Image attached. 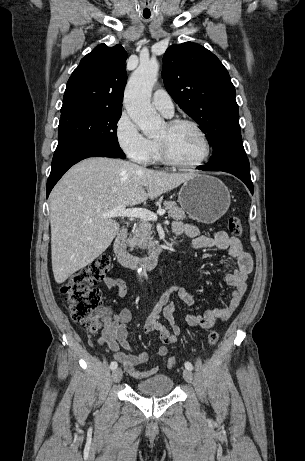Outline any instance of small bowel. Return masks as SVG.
Here are the masks:
<instances>
[{"label":"small bowel","instance_id":"obj_1","mask_svg":"<svg viewBox=\"0 0 305 461\" xmlns=\"http://www.w3.org/2000/svg\"><path fill=\"white\" fill-rule=\"evenodd\" d=\"M172 231L176 236L186 235L190 238L189 249L217 248L227 250L231 260L236 263L234 271L226 276L227 284L234 288L228 305L224 308L208 309L199 315L185 314V320L189 326L210 329L218 321L229 318L240 305L247 290V277L253 269L251 255L243 249L239 238L230 236L222 230L216 231L212 236H206L201 235L198 227L193 224L175 221L172 225ZM103 282L106 288L114 289L119 297L126 295L127 286L123 279L106 277ZM173 294H176L187 305H192L195 302L193 295L178 284L169 286L162 293L144 325L146 333L158 335L161 342L157 348L159 357L167 355V346L175 343L182 333V329L174 321L177 304L170 300ZM131 319L132 314L128 308H123L114 315L109 308H105L104 327L99 342L109 347L113 352L114 359L122 364L128 374L136 379H144L154 375L158 371V367L154 366L147 370L138 369V366L148 362L150 355L147 351L135 352L128 342L127 325ZM122 348L127 352L123 351Z\"/></svg>","mask_w":305,"mask_h":461}]
</instances>
